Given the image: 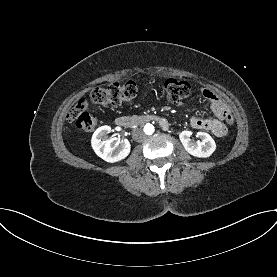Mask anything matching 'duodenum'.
I'll return each mask as SVG.
<instances>
[{
  "label": "duodenum",
  "mask_w": 277,
  "mask_h": 277,
  "mask_svg": "<svg viewBox=\"0 0 277 277\" xmlns=\"http://www.w3.org/2000/svg\"><path fill=\"white\" fill-rule=\"evenodd\" d=\"M154 121L161 123L163 129H168V125L155 115L120 116L115 119V124L122 128H131Z\"/></svg>",
  "instance_id": "410a0bca"
}]
</instances>
